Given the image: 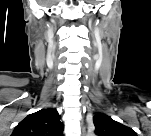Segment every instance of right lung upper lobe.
Returning a JSON list of instances; mask_svg holds the SVG:
<instances>
[{"instance_id": "obj_1", "label": "right lung upper lobe", "mask_w": 151, "mask_h": 136, "mask_svg": "<svg viewBox=\"0 0 151 136\" xmlns=\"http://www.w3.org/2000/svg\"><path fill=\"white\" fill-rule=\"evenodd\" d=\"M63 124L55 109L28 115L14 129L13 136H62Z\"/></svg>"}]
</instances>
